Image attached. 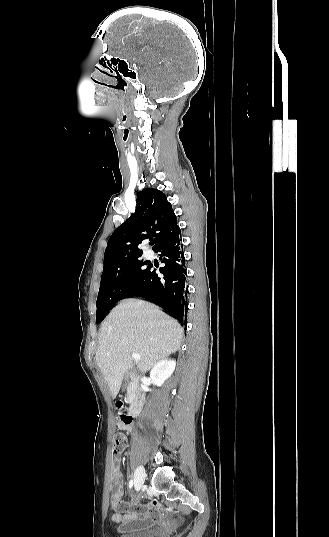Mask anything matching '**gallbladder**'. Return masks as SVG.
Wrapping results in <instances>:
<instances>
[{
    "instance_id": "gallbladder-1",
    "label": "gallbladder",
    "mask_w": 329,
    "mask_h": 537,
    "mask_svg": "<svg viewBox=\"0 0 329 537\" xmlns=\"http://www.w3.org/2000/svg\"><path fill=\"white\" fill-rule=\"evenodd\" d=\"M129 382H130V379H129V378H127V379L124 380V388H127Z\"/></svg>"
}]
</instances>
